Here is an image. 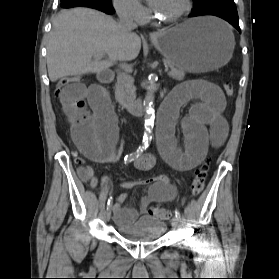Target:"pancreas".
<instances>
[{
    "mask_svg": "<svg viewBox=\"0 0 279 279\" xmlns=\"http://www.w3.org/2000/svg\"><path fill=\"white\" fill-rule=\"evenodd\" d=\"M165 65L171 68L168 75L178 81H182L185 78V72L181 69L175 68L168 60H164ZM130 71L120 73L117 76V82L115 85V97L120 103H129L135 99V86L134 79L128 74Z\"/></svg>",
    "mask_w": 279,
    "mask_h": 279,
    "instance_id": "obj_1",
    "label": "pancreas"
}]
</instances>
